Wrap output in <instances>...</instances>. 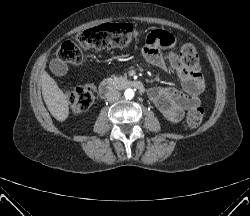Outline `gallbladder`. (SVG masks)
I'll return each mask as SVG.
<instances>
[{"mask_svg":"<svg viewBox=\"0 0 250 216\" xmlns=\"http://www.w3.org/2000/svg\"><path fill=\"white\" fill-rule=\"evenodd\" d=\"M49 67L51 72L56 76L66 75L69 70L68 65L58 59L51 60Z\"/></svg>","mask_w":250,"mask_h":216,"instance_id":"1","label":"gallbladder"}]
</instances>
